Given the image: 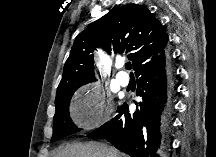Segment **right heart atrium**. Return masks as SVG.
I'll return each instance as SVG.
<instances>
[{
	"label": "right heart atrium",
	"instance_id": "obj_1",
	"mask_svg": "<svg viewBox=\"0 0 216 157\" xmlns=\"http://www.w3.org/2000/svg\"><path fill=\"white\" fill-rule=\"evenodd\" d=\"M83 92L82 108L76 114L75 122L82 128L98 127L111 117L114 111L113 105L95 86L87 87Z\"/></svg>",
	"mask_w": 216,
	"mask_h": 157
}]
</instances>
